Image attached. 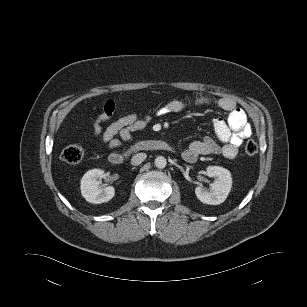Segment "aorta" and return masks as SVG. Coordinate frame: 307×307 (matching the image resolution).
<instances>
[{
    "label": "aorta",
    "mask_w": 307,
    "mask_h": 307,
    "mask_svg": "<svg viewBox=\"0 0 307 307\" xmlns=\"http://www.w3.org/2000/svg\"><path fill=\"white\" fill-rule=\"evenodd\" d=\"M154 164L158 169H163L167 165V160L164 156H158L155 158Z\"/></svg>",
    "instance_id": "aorta-1"
}]
</instances>
